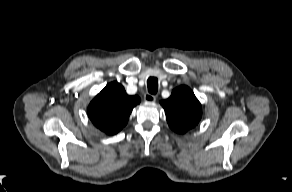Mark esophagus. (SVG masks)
I'll use <instances>...</instances> for the list:
<instances>
[{"instance_id": "obj_1", "label": "esophagus", "mask_w": 292, "mask_h": 192, "mask_svg": "<svg viewBox=\"0 0 292 192\" xmlns=\"http://www.w3.org/2000/svg\"><path fill=\"white\" fill-rule=\"evenodd\" d=\"M144 100L147 101V102H155L156 101V96L152 95V94H149V93H146L144 95Z\"/></svg>"}]
</instances>
